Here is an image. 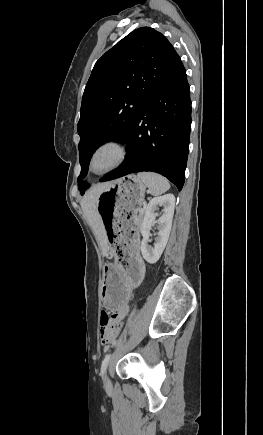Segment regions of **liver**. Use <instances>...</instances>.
I'll return each mask as SVG.
<instances>
[{"label": "liver", "instance_id": "obj_1", "mask_svg": "<svg viewBox=\"0 0 263 435\" xmlns=\"http://www.w3.org/2000/svg\"><path fill=\"white\" fill-rule=\"evenodd\" d=\"M108 184L109 182L94 185L90 190L86 192L81 201L82 210L87 220L89 221L96 238L99 241L103 255H106L107 253L108 240L104 225L97 211L96 202L98 196L107 187Z\"/></svg>", "mask_w": 263, "mask_h": 435}]
</instances>
